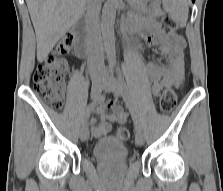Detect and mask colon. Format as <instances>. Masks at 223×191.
<instances>
[{
	"label": "colon",
	"instance_id": "1",
	"mask_svg": "<svg viewBox=\"0 0 223 191\" xmlns=\"http://www.w3.org/2000/svg\"><path fill=\"white\" fill-rule=\"evenodd\" d=\"M164 25L171 31L178 30V23L171 17H165ZM75 42L73 35L63 37L57 46V53L68 52ZM68 70L65 59L57 55L50 56L47 61L39 65L33 74V88L36 94L54 109H61L64 105V78ZM177 103L176 93L172 88H166L159 101V109L162 113H170ZM116 136L126 141L130 138V131L120 127L116 130Z\"/></svg>",
	"mask_w": 223,
	"mask_h": 191
}]
</instances>
